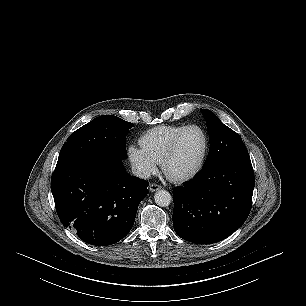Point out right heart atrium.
Listing matches in <instances>:
<instances>
[{
    "mask_svg": "<svg viewBox=\"0 0 306 306\" xmlns=\"http://www.w3.org/2000/svg\"><path fill=\"white\" fill-rule=\"evenodd\" d=\"M127 156L133 171L141 178H148L157 171L158 162L142 147L131 144Z\"/></svg>",
    "mask_w": 306,
    "mask_h": 306,
    "instance_id": "1",
    "label": "right heart atrium"
}]
</instances>
